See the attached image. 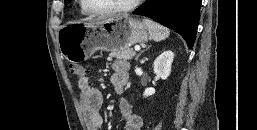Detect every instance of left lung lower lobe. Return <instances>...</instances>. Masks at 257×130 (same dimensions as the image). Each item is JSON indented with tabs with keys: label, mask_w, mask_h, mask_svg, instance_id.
I'll list each match as a JSON object with an SVG mask.
<instances>
[{
	"label": "left lung lower lobe",
	"mask_w": 257,
	"mask_h": 130,
	"mask_svg": "<svg viewBox=\"0 0 257 130\" xmlns=\"http://www.w3.org/2000/svg\"><path fill=\"white\" fill-rule=\"evenodd\" d=\"M202 0H147L133 13L174 29L192 48L200 18Z\"/></svg>",
	"instance_id": "left-lung-lower-lobe-1"
}]
</instances>
